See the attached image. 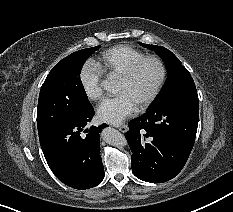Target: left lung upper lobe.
Wrapping results in <instances>:
<instances>
[{"label": "left lung upper lobe", "mask_w": 233, "mask_h": 212, "mask_svg": "<svg viewBox=\"0 0 233 212\" xmlns=\"http://www.w3.org/2000/svg\"><path fill=\"white\" fill-rule=\"evenodd\" d=\"M140 45L154 50L163 59L168 70L167 81L152 105L173 99L198 100L196 87L190 73L171 51L157 45L144 43H140Z\"/></svg>", "instance_id": "obj_1"}]
</instances>
